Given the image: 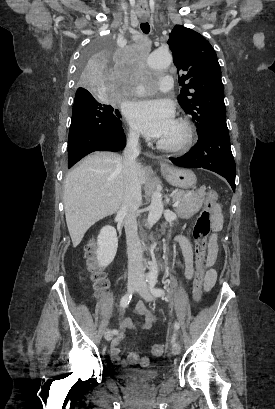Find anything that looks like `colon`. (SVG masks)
<instances>
[{"label":"colon","instance_id":"obj_1","mask_svg":"<svg viewBox=\"0 0 275 409\" xmlns=\"http://www.w3.org/2000/svg\"><path fill=\"white\" fill-rule=\"evenodd\" d=\"M218 198V193L215 190H210L207 194V198L204 207L200 211L193 232V238L195 241V281H194V291L193 299L198 302L204 293L205 286V275L206 270L204 266V260L206 256V246L207 238L211 230V214L214 206L216 205ZM98 249V244L96 242H90L85 247V255L88 261V267H90L91 262L88 257L94 261ZM89 279L93 285V288L99 292H104L108 286L109 282L105 278L104 274L101 272H96L92 274L89 273ZM153 350L151 351V356L154 358H162L164 355L163 344L161 342H154L152 345Z\"/></svg>","mask_w":275,"mask_h":409}]
</instances>
